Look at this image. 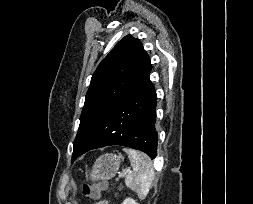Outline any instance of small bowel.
I'll list each match as a JSON object with an SVG mask.
<instances>
[{
  "mask_svg": "<svg viewBox=\"0 0 253 204\" xmlns=\"http://www.w3.org/2000/svg\"><path fill=\"white\" fill-rule=\"evenodd\" d=\"M96 204H110V203L106 200H101V201L97 202Z\"/></svg>",
  "mask_w": 253,
  "mask_h": 204,
  "instance_id": "obj_1",
  "label": "small bowel"
}]
</instances>
